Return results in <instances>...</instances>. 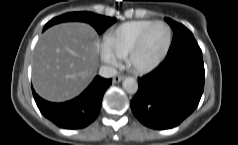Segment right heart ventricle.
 I'll return each mask as SVG.
<instances>
[{"label": "right heart ventricle", "mask_w": 238, "mask_h": 145, "mask_svg": "<svg viewBox=\"0 0 238 145\" xmlns=\"http://www.w3.org/2000/svg\"><path fill=\"white\" fill-rule=\"evenodd\" d=\"M152 22V20H134L111 28L103 35V46L118 58H125L140 33Z\"/></svg>", "instance_id": "right-heart-ventricle-1"}]
</instances>
